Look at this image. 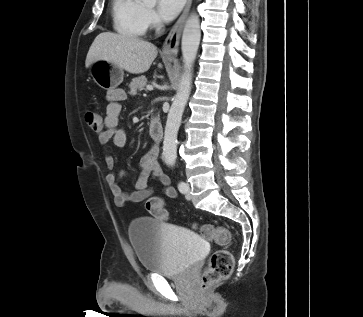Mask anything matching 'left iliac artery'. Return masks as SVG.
<instances>
[{"instance_id": "1", "label": "left iliac artery", "mask_w": 363, "mask_h": 317, "mask_svg": "<svg viewBox=\"0 0 363 317\" xmlns=\"http://www.w3.org/2000/svg\"><path fill=\"white\" fill-rule=\"evenodd\" d=\"M178 189L181 193H185L186 191V184L185 182L181 181L178 183Z\"/></svg>"}]
</instances>
